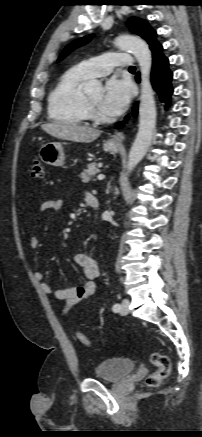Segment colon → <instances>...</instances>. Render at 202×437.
<instances>
[{"instance_id": "1", "label": "colon", "mask_w": 202, "mask_h": 437, "mask_svg": "<svg viewBox=\"0 0 202 437\" xmlns=\"http://www.w3.org/2000/svg\"><path fill=\"white\" fill-rule=\"evenodd\" d=\"M30 173L34 178H42L44 176V166L40 159L34 158L31 161ZM75 336L81 344L85 346L90 345L88 338L82 332L77 331ZM151 362L156 367V371L146 378V385L148 387H158L170 372V359L164 354L153 353L151 355Z\"/></svg>"}]
</instances>
